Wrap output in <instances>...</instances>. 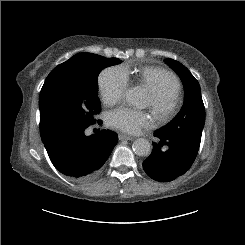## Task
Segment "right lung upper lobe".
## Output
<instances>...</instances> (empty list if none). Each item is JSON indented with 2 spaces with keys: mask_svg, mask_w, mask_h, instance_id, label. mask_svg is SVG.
<instances>
[{
  "mask_svg": "<svg viewBox=\"0 0 245 245\" xmlns=\"http://www.w3.org/2000/svg\"><path fill=\"white\" fill-rule=\"evenodd\" d=\"M69 61H70V60H68V61H66V62H64V63L58 65V66L52 71V73L55 72V71H57L59 68H61L63 65H65V64L68 63Z\"/></svg>",
  "mask_w": 245,
  "mask_h": 245,
  "instance_id": "1",
  "label": "right lung upper lobe"
}]
</instances>
